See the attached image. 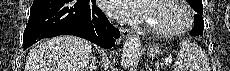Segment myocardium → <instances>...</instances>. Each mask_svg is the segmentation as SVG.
<instances>
[{
	"instance_id": "myocardium-1",
	"label": "myocardium",
	"mask_w": 230,
	"mask_h": 71,
	"mask_svg": "<svg viewBox=\"0 0 230 71\" xmlns=\"http://www.w3.org/2000/svg\"><path fill=\"white\" fill-rule=\"evenodd\" d=\"M157 1H161L164 3L170 4L174 6L175 8H177L181 12L184 18V21L180 27L175 28V29H162V28H157V27H153L149 25L147 26V30L151 34L160 36V37H166V38L178 37V36L185 34L191 28L193 24L192 14L182 1H177V0H157Z\"/></svg>"
}]
</instances>
